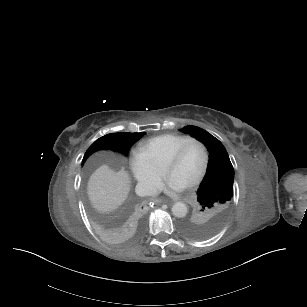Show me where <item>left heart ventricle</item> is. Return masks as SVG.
Returning a JSON list of instances; mask_svg holds the SVG:
<instances>
[{"mask_svg":"<svg viewBox=\"0 0 307 307\" xmlns=\"http://www.w3.org/2000/svg\"><path fill=\"white\" fill-rule=\"evenodd\" d=\"M204 164V151L201 144L191 143L181 159L171 164L167 169V176L187 184L201 171Z\"/></svg>","mask_w":307,"mask_h":307,"instance_id":"1","label":"left heart ventricle"}]
</instances>
